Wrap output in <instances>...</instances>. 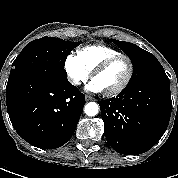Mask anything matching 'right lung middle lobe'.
Returning a JSON list of instances; mask_svg holds the SVG:
<instances>
[{"mask_svg":"<svg viewBox=\"0 0 178 178\" xmlns=\"http://www.w3.org/2000/svg\"><path fill=\"white\" fill-rule=\"evenodd\" d=\"M78 44L54 37H43L31 41L14 60L10 73L54 69L66 75L65 60Z\"/></svg>","mask_w":178,"mask_h":178,"instance_id":"obj_1","label":"right lung middle lobe"}]
</instances>
